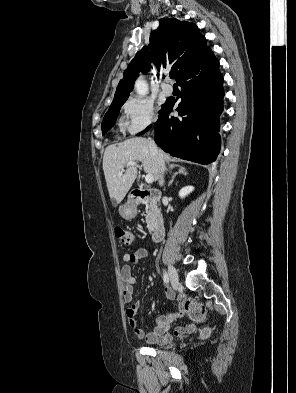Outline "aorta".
<instances>
[{"instance_id":"obj_1","label":"aorta","mask_w":296,"mask_h":393,"mask_svg":"<svg viewBox=\"0 0 296 393\" xmlns=\"http://www.w3.org/2000/svg\"><path fill=\"white\" fill-rule=\"evenodd\" d=\"M135 90L140 97L148 93V85L143 78H139L135 83Z\"/></svg>"}]
</instances>
